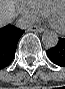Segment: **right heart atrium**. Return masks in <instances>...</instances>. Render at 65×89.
<instances>
[{
	"label": "right heart atrium",
	"instance_id": "1",
	"mask_svg": "<svg viewBox=\"0 0 65 89\" xmlns=\"http://www.w3.org/2000/svg\"><path fill=\"white\" fill-rule=\"evenodd\" d=\"M16 10L27 23H32L45 15V10L31 0H18Z\"/></svg>",
	"mask_w": 65,
	"mask_h": 89
}]
</instances>
